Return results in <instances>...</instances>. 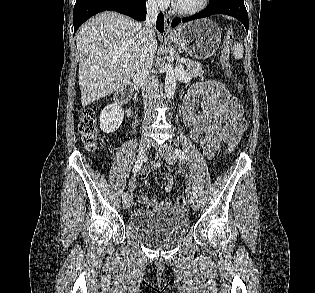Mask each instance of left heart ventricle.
<instances>
[{
	"instance_id": "1",
	"label": "left heart ventricle",
	"mask_w": 315,
	"mask_h": 293,
	"mask_svg": "<svg viewBox=\"0 0 315 293\" xmlns=\"http://www.w3.org/2000/svg\"><path fill=\"white\" fill-rule=\"evenodd\" d=\"M175 2L182 8H194L201 3V0H175Z\"/></svg>"
}]
</instances>
